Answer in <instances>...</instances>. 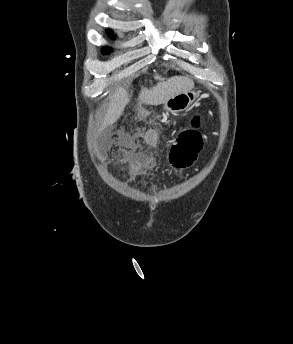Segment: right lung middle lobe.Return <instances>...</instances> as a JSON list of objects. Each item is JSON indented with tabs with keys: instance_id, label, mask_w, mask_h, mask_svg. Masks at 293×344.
Instances as JSON below:
<instances>
[{
	"instance_id": "obj_1",
	"label": "right lung middle lobe",
	"mask_w": 293,
	"mask_h": 344,
	"mask_svg": "<svg viewBox=\"0 0 293 344\" xmlns=\"http://www.w3.org/2000/svg\"><path fill=\"white\" fill-rule=\"evenodd\" d=\"M109 33H110V34H113L112 31H110ZM103 53H105V54L109 53L108 49L104 50Z\"/></svg>"
}]
</instances>
